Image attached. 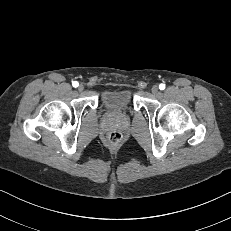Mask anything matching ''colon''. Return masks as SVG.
I'll return each instance as SVG.
<instances>
[{"mask_svg": "<svg viewBox=\"0 0 231 231\" xmlns=\"http://www.w3.org/2000/svg\"><path fill=\"white\" fill-rule=\"evenodd\" d=\"M122 139V135L119 131H111L109 134H108V141L110 142V144L112 145H117L120 143Z\"/></svg>", "mask_w": 231, "mask_h": 231, "instance_id": "1", "label": "colon"}]
</instances>
